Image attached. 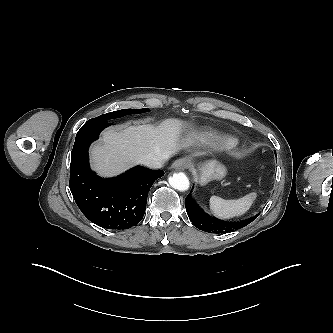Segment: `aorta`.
<instances>
[{"label":"aorta","mask_w":333,"mask_h":333,"mask_svg":"<svg viewBox=\"0 0 333 333\" xmlns=\"http://www.w3.org/2000/svg\"><path fill=\"white\" fill-rule=\"evenodd\" d=\"M168 181L171 187L182 191L187 190L190 185L188 177L182 172L174 173Z\"/></svg>","instance_id":"aorta-1"}]
</instances>
